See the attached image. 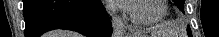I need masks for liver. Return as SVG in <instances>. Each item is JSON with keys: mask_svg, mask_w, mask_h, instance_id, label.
I'll list each match as a JSON object with an SVG mask.
<instances>
[{"mask_svg": "<svg viewBox=\"0 0 219 37\" xmlns=\"http://www.w3.org/2000/svg\"><path fill=\"white\" fill-rule=\"evenodd\" d=\"M51 36H56V37H62V36H69V37H80L79 34L77 33H66V32H63V31H55L53 32L52 34H49Z\"/></svg>", "mask_w": 219, "mask_h": 37, "instance_id": "1", "label": "liver"}]
</instances>
